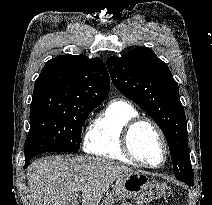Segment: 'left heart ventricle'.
<instances>
[{
	"mask_svg": "<svg viewBox=\"0 0 212 205\" xmlns=\"http://www.w3.org/2000/svg\"><path fill=\"white\" fill-rule=\"evenodd\" d=\"M132 147L144 162L158 164L163 158V147L155 130L148 124L138 126L132 135Z\"/></svg>",
	"mask_w": 212,
	"mask_h": 205,
	"instance_id": "obj_1",
	"label": "left heart ventricle"
}]
</instances>
